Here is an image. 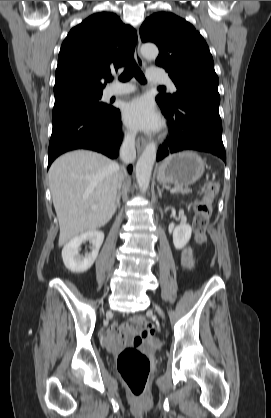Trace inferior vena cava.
<instances>
[{"mask_svg": "<svg viewBox=\"0 0 271 418\" xmlns=\"http://www.w3.org/2000/svg\"><path fill=\"white\" fill-rule=\"evenodd\" d=\"M135 137L136 134H128L121 147H120V158L124 164L132 163L136 158V151H135ZM125 172V170H124ZM122 179V174H120V181Z\"/></svg>", "mask_w": 271, "mask_h": 418, "instance_id": "1", "label": "inferior vena cava"}]
</instances>
